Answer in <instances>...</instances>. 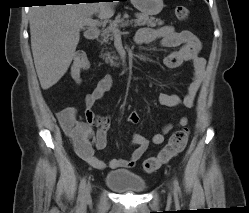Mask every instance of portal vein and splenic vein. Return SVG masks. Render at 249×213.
Instances as JSON below:
<instances>
[{
  "instance_id": "obj_1",
  "label": "portal vein and splenic vein",
  "mask_w": 249,
  "mask_h": 213,
  "mask_svg": "<svg viewBox=\"0 0 249 213\" xmlns=\"http://www.w3.org/2000/svg\"><path fill=\"white\" fill-rule=\"evenodd\" d=\"M102 23H103L102 21L93 20L92 18H86L85 21H84L85 25L91 26V27L99 26ZM127 25H128V23H123L121 26L125 27ZM114 32H115V34H118V33H120V30L118 28H115Z\"/></svg>"
}]
</instances>
